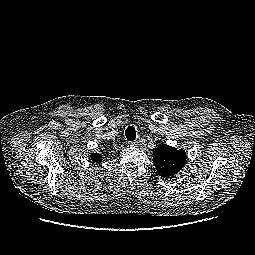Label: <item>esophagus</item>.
Instances as JSON below:
<instances>
[{
	"instance_id": "obj_1",
	"label": "esophagus",
	"mask_w": 255,
	"mask_h": 255,
	"mask_svg": "<svg viewBox=\"0 0 255 255\" xmlns=\"http://www.w3.org/2000/svg\"><path fill=\"white\" fill-rule=\"evenodd\" d=\"M129 144H130V146H138L139 141L138 140L130 141Z\"/></svg>"
}]
</instances>
